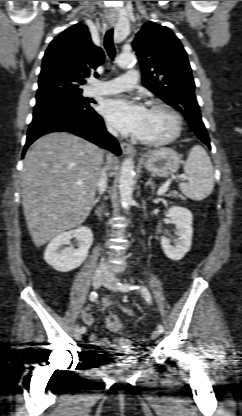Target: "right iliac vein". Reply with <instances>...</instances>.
<instances>
[{"label": "right iliac vein", "instance_id": "1", "mask_svg": "<svg viewBox=\"0 0 242 416\" xmlns=\"http://www.w3.org/2000/svg\"><path fill=\"white\" fill-rule=\"evenodd\" d=\"M105 275L102 270H96L92 277V284L95 289L99 288L101 283L103 282ZM74 337L76 340H81L82 333L78 325L74 328Z\"/></svg>", "mask_w": 242, "mask_h": 416}]
</instances>
